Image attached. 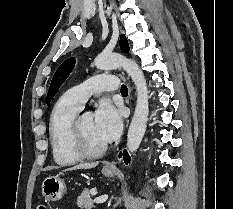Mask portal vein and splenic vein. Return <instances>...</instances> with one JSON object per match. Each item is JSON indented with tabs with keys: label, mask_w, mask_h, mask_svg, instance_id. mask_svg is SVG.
<instances>
[{
	"label": "portal vein and splenic vein",
	"mask_w": 233,
	"mask_h": 209,
	"mask_svg": "<svg viewBox=\"0 0 233 209\" xmlns=\"http://www.w3.org/2000/svg\"><path fill=\"white\" fill-rule=\"evenodd\" d=\"M107 199H108V196H100V197L95 198L93 202L101 204V203L106 202Z\"/></svg>",
	"instance_id": "obj_1"
}]
</instances>
